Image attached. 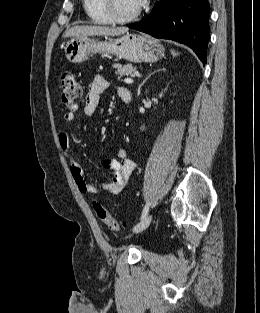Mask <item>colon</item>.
I'll use <instances>...</instances> for the list:
<instances>
[{
    "label": "colon",
    "mask_w": 260,
    "mask_h": 313,
    "mask_svg": "<svg viewBox=\"0 0 260 313\" xmlns=\"http://www.w3.org/2000/svg\"><path fill=\"white\" fill-rule=\"evenodd\" d=\"M60 88L62 101L68 107L76 106V104L83 97V88L80 82L72 73H64L61 75ZM94 210L99 220L104 223L110 230H119V222L102 204L95 203Z\"/></svg>",
    "instance_id": "colon-1"
}]
</instances>
